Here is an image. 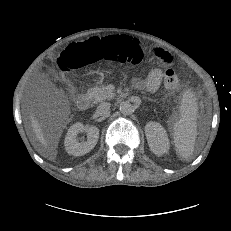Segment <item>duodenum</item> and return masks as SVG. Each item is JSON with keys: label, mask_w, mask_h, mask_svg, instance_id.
Here are the masks:
<instances>
[{"label": "duodenum", "mask_w": 231, "mask_h": 231, "mask_svg": "<svg viewBox=\"0 0 231 231\" xmlns=\"http://www.w3.org/2000/svg\"><path fill=\"white\" fill-rule=\"evenodd\" d=\"M90 100L91 98L89 95H86V94L79 95L76 99V104H77L78 109L80 110L88 109L90 105Z\"/></svg>", "instance_id": "obj_1"}]
</instances>
